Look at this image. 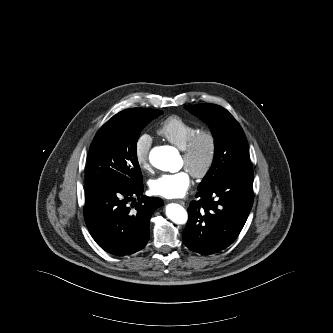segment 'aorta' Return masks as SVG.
I'll return each mask as SVG.
<instances>
[{"label":"aorta","mask_w":333,"mask_h":333,"mask_svg":"<svg viewBox=\"0 0 333 333\" xmlns=\"http://www.w3.org/2000/svg\"><path fill=\"white\" fill-rule=\"evenodd\" d=\"M149 159L151 164L162 171L174 172L177 169L178 153L170 146H159L151 150ZM166 216L176 224H185L188 220L186 210L179 204H168Z\"/></svg>","instance_id":"obj_1"}]
</instances>
